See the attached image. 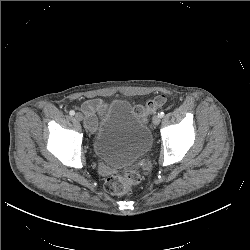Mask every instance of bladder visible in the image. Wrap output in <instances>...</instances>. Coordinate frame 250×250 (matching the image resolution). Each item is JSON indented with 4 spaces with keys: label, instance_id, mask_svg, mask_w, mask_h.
<instances>
[{
    "label": "bladder",
    "instance_id": "obj_1",
    "mask_svg": "<svg viewBox=\"0 0 250 250\" xmlns=\"http://www.w3.org/2000/svg\"><path fill=\"white\" fill-rule=\"evenodd\" d=\"M152 144L145 120L127 99L114 100L91 141L93 155L113 166L142 159Z\"/></svg>",
    "mask_w": 250,
    "mask_h": 250
}]
</instances>
